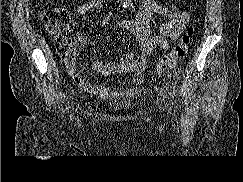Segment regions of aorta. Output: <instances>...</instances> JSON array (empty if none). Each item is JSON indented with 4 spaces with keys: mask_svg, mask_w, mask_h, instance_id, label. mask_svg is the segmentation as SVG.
I'll return each mask as SVG.
<instances>
[{
    "mask_svg": "<svg viewBox=\"0 0 243 182\" xmlns=\"http://www.w3.org/2000/svg\"><path fill=\"white\" fill-rule=\"evenodd\" d=\"M132 0H121V3L123 4V7L128 8L131 4Z\"/></svg>",
    "mask_w": 243,
    "mask_h": 182,
    "instance_id": "1",
    "label": "aorta"
}]
</instances>
